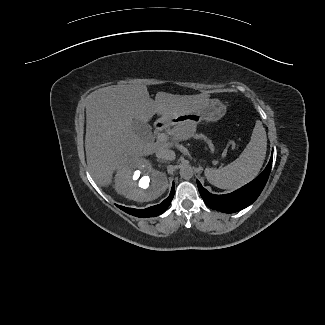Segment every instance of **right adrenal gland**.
Wrapping results in <instances>:
<instances>
[{"instance_id":"2a0ac1e0","label":"right adrenal gland","mask_w":325,"mask_h":325,"mask_svg":"<svg viewBox=\"0 0 325 325\" xmlns=\"http://www.w3.org/2000/svg\"><path fill=\"white\" fill-rule=\"evenodd\" d=\"M156 160H157L158 162H162V163L164 162L163 160H160V159H156Z\"/></svg>"}]
</instances>
